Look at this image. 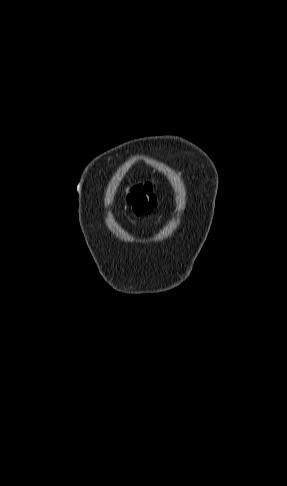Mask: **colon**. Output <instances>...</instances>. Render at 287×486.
I'll list each match as a JSON object with an SVG mask.
<instances>
[{
	"mask_svg": "<svg viewBox=\"0 0 287 486\" xmlns=\"http://www.w3.org/2000/svg\"><path fill=\"white\" fill-rule=\"evenodd\" d=\"M128 203L138 216L147 215L157 205L155 184L146 182L134 186L127 197Z\"/></svg>",
	"mask_w": 287,
	"mask_h": 486,
	"instance_id": "5ec220e1",
	"label": "colon"
}]
</instances>
